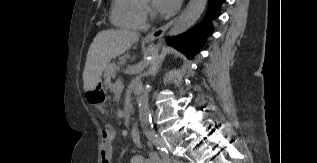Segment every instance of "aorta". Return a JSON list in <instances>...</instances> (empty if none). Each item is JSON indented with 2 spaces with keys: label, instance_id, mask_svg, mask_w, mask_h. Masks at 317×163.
<instances>
[{
  "label": "aorta",
  "instance_id": "obj_1",
  "mask_svg": "<svg viewBox=\"0 0 317 163\" xmlns=\"http://www.w3.org/2000/svg\"><path fill=\"white\" fill-rule=\"evenodd\" d=\"M206 4L207 0H190L184 12L171 24L169 30L166 32V36L172 37L179 35L193 26L203 13ZM155 70L156 57L154 56L150 59L149 68L144 72V76L147 77L153 75ZM149 88V84H146L138 103L140 122L145 128H149L151 125Z\"/></svg>",
  "mask_w": 317,
  "mask_h": 163
}]
</instances>
